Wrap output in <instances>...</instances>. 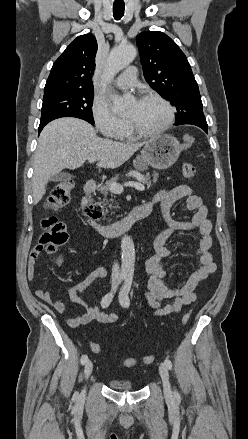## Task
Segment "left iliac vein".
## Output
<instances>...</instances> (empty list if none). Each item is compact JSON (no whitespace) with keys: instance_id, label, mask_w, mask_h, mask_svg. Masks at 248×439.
Listing matches in <instances>:
<instances>
[{"instance_id":"4c4485c4","label":"left iliac vein","mask_w":248,"mask_h":439,"mask_svg":"<svg viewBox=\"0 0 248 439\" xmlns=\"http://www.w3.org/2000/svg\"><path fill=\"white\" fill-rule=\"evenodd\" d=\"M159 374L163 383V391L164 395L167 399H171L173 396L170 381H169V373L165 364L161 363L159 365Z\"/></svg>"}]
</instances>
